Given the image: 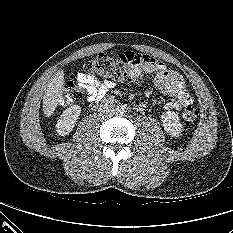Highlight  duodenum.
<instances>
[{"mask_svg": "<svg viewBox=\"0 0 233 233\" xmlns=\"http://www.w3.org/2000/svg\"><path fill=\"white\" fill-rule=\"evenodd\" d=\"M103 104L104 105H111V104H113V101L112 100H105L104 102H103Z\"/></svg>", "mask_w": 233, "mask_h": 233, "instance_id": "obj_1", "label": "duodenum"}]
</instances>
